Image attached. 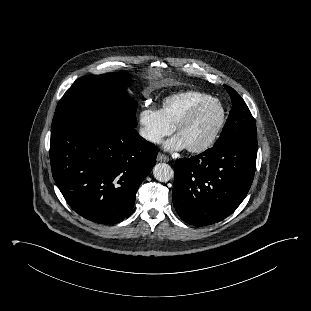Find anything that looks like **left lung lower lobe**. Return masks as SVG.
<instances>
[{
    "mask_svg": "<svg viewBox=\"0 0 311 311\" xmlns=\"http://www.w3.org/2000/svg\"><path fill=\"white\" fill-rule=\"evenodd\" d=\"M257 147V140L241 139L178 159L172 198L180 218L205 226L232 214L252 184Z\"/></svg>",
    "mask_w": 311,
    "mask_h": 311,
    "instance_id": "1",
    "label": "left lung lower lobe"
}]
</instances>
